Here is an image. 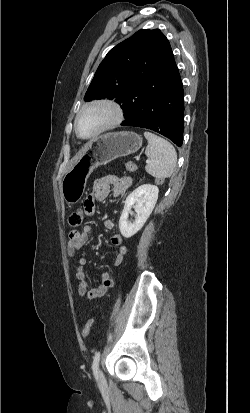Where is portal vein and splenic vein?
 Wrapping results in <instances>:
<instances>
[{
    "mask_svg": "<svg viewBox=\"0 0 250 413\" xmlns=\"http://www.w3.org/2000/svg\"><path fill=\"white\" fill-rule=\"evenodd\" d=\"M136 160H139V157H136ZM150 160H146V163H149Z\"/></svg>",
    "mask_w": 250,
    "mask_h": 413,
    "instance_id": "obj_1",
    "label": "portal vein and splenic vein"
}]
</instances>
